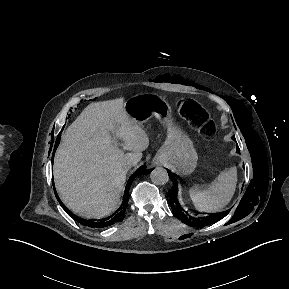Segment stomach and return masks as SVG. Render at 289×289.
<instances>
[{
    "label": "stomach",
    "instance_id": "0dacf381",
    "mask_svg": "<svg viewBox=\"0 0 289 289\" xmlns=\"http://www.w3.org/2000/svg\"><path fill=\"white\" fill-rule=\"evenodd\" d=\"M125 111L138 123L155 116L167 127V142L163 150L168 163L179 173L187 175L197 165V152L189 136L173 122L171 107L155 95H136L124 103Z\"/></svg>",
    "mask_w": 289,
    "mask_h": 289
}]
</instances>
